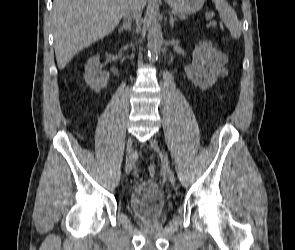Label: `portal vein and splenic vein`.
Here are the masks:
<instances>
[{
    "instance_id": "18ae733b",
    "label": "portal vein and splenic vein",
    "mask_w": 295,
    "mask_h": 250,
    "mask_svg": "<svg viewBox=\"0 0 295 250\" xmlns=\"http://www.w3.org/2000/svg\"><path fill=\"white\" fill-rule=\"evenodd\" d=\"M211 17H212V14H207V15H206V19H207V20H210Z\"/></svg>"
}]
</instances>
